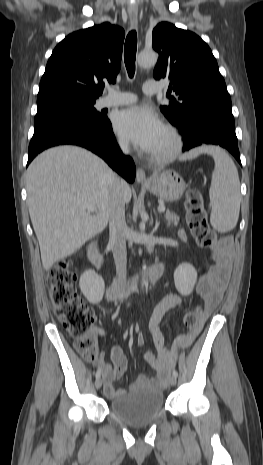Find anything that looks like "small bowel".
Returning a JSON list of instances; mask_svg holds the SVG:
<instances>
[{
  "instance_id": "obj_1",
  "label": "small bowel",
  "mask_w": 263,
  "mask_h": 465,
  "mask_svg": "<svg viewBox=\"0 0 263 465\" xmlns=\"http://www.w3.org/2000/svg\"><path fill=\"white\" fill-rule=\"evenodd\" d=\"M180 237L185 240L186 235L180 232ZM215 264L211 266L205 274L201 275L196 284L197 294L205 300V312L203 318H206L220 303L224 291L228 285L231 274V261L228 246H224L215 255ZM183 298L177 294H169L161 299L155 306L149 321V330L152 335L157 353L148 351L144 355L145 361L157 372L156 378H150L144 374L137 377L130 388L152 387L161 389L166 386L170 370L175 366L178 351L189 346L199 331L205 333L206 322H201L198 329L183 334L177 338L173 347L168 349L164 345V336L160 330V322L164 315L171 309L180 306ZM138 345L145 343L144 336L139 334L137 337ZM111 360L113 366L101 362L99 369L104 378V392L109 398L119 396L126 389H116L114 381L120 379L127 368V359L119 346H114L111 350Z\"/></svg>"
}]
</instances>
